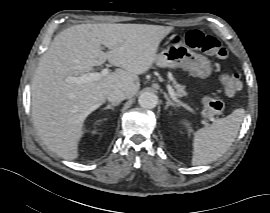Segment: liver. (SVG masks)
Listing matches in <instances>:
<instances>
[{
  "label": "liver",
  "instance_id": "liver-1",
  "mask_svg": "<svg viewBox=\"0 0 270 213\" xmlns=\"http://www.w3.org/2000/svg\"><path fill=\"white\" fill-rule=\"evenodd\" d=\"M173 27L146 24H79L60 32L41 57L31 87L36 130L52 151L78 158L85 119L116 89L133 97L139 75L155 62L161 41ZM101 45L109 51L101 50ZM106 60L120 67L99 80L69 83V76L91 72Z\"/></svg>",
  "mask_w": 270,
  "mask_h": 213
}]
</instances>
